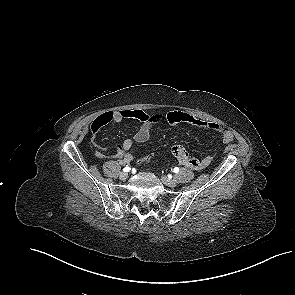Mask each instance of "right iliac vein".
I'll list each match as a JSON object with an SVG mask.
<instances>
[{
    "label": "right iliac vein",
    "mask_w": 295,
    "mask_h": 295,
    "mask_svg": "<svg viewBox=\"0 0 295 295\" xmlns=\"http://www.w3.org/2000/svg\"><path fill=\"white\" fill-rule=\"evenodd\" d=\"M119 177H120L121 180H125V179H127L128 174L126 172H121Z\"/></svg>",
    "instance_id": "right-iliac-vein-1"
}]
</instances>
